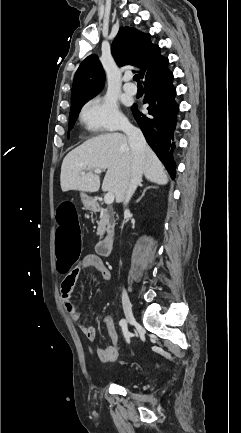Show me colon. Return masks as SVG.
I'll return each mask as SVG.
<instances>
[{
	"label": "colon",
	"instance_id": "colon-1",
	"mask_svg": "<svg viewBox=\"0 0 241 433\" xmlns=\"http://www.w3.org/2000/svg\"><path fill=\"white\" fill-rule=\"evenodd\" d=\"M78 212V205H71L68 201H65L62 205H59L58 212L53 213V220L57 221L55 268L58 272H71L79 258L78 252L79 247L82 246V232Z\"/></svg>",
	"mask_w": 241,
	"mask_h": 433
}]
</instances>
